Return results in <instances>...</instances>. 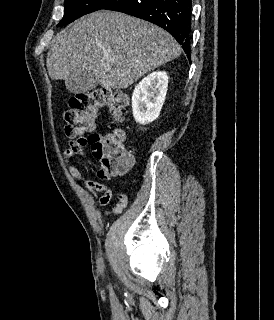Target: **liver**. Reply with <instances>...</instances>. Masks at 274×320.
Segmentation results:
<instances>
[{"label": "liver", "instance_id": "liver-1", "mask_svg": "<svg viewBox=\"0 0 274 320\" xmlns=\"http://www.w3.org/2000/svg\"><path fill=\"white\" fill-rule=\"evenodd\" d=\"M181 52L176 40L155 24L100 10L56 34L46 68L52 80H65L73 94V82L83 72H92L105 90H124Z\"/></svg>", "mask_w": 274, "mask_h": 320}]
</instances>
